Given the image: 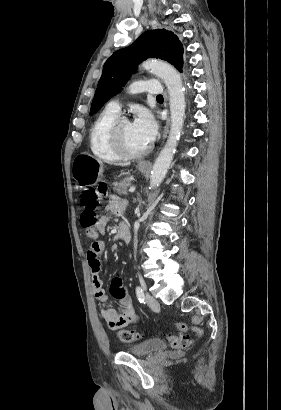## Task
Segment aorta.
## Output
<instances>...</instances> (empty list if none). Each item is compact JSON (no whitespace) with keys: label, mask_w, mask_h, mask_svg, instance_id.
Instances as JSON below:
<instances>
[{"label":"aorta","mask_w":281,"mask_h":410,"mask_svg":"<svg viewBox=\"0 0 281 410\" xmlns=\"http://www.w3.org/2000/svg\"><path fill=\"white\" fill-rule=\"evenodd\" d=\"M141 66L161 78L169 92L171 114L170 132L166 144L155 160L151 172L150 188H155L159 186L165 178L176 151L184 123L186 107L185 94L181 77L170 64L158 60H147L143 62Z\"/></svg>","instance_id":"obj_1"}]
</instances>
